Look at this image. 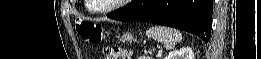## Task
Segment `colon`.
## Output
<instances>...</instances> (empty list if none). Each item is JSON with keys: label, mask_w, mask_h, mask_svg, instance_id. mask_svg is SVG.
Returning <instances> with one entry per match:
<instances>
[{"label": "colon", "mask_w": 261, "mask_h": 59, "mask_svg": "<svg viewBox=\"0 0 261 59\" xmlns=\"http://www.w3.org/2000/svg\"><path fill=\"white\" fill-rule=\"evenodd\" d=\"M78 34L91 44H100L103 40L102 26L95 22L77 21L75 23ZM103 59H119L130 56V52L121 47L103 48Z\"/></svg>", "instance_id": "5ec220e1"}]
</instances>
